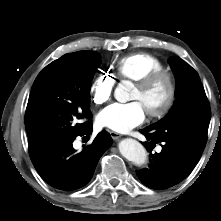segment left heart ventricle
<instances>
[{"instance_id":"1","label":"left heart ventricle","mask_w":221,"mask_h":221,"mask_svg":"<svg viewBox=\"0 0 221 221\" xmlns=\"http://www.w3.org/2000/svg\"><path fill=\"white\" fill-rule=\"evenodd\" d=\"M168 86L164 80H160L148 89H140L135 86L131 99L142 103L146 111L159 109L166 100Z\"/></svg>"}]
</instances>
